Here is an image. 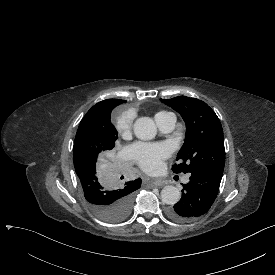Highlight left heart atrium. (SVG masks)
Segmentation results:
<instances>
[{
	"label": "left heart atrium",
	"instance_id": "left-heart-atrium-1",
	"mask_svg": "<svg viewBox=\"0 0 275 275\" xmlns=\"http://www.w3.org/2000/svg\"><path fill=\"white\" fill-rule=\"evenodd\" d=\"M127 155L145 171L154 172L160 167L162 159L169 155V149L165 143H138L127 149Z\"/></svg>",
	"mask_w": 275,
	"mask_h": 275
}]
</instances>
